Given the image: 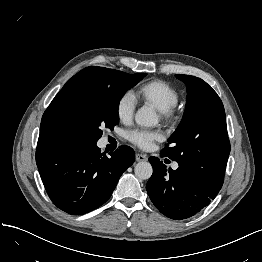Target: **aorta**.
<instances>
[{
  "label": "aorta",
  "instance_id": "762f6f07",
  "mask_svg": "<svg viewBox=\"0 0 262 262\" xmlns=\"http://www.w3.org/2000/svg\"><path fill=\"white\" fill-rule=\"evenodd\" d=\"M135 122L140 126L151 127L157 124L158 117L153 109L142 107L135 114ZM134 171L136 177L141 180L149 179L153 173L151 164L146 161L137 163Z\"/></svg>",
  "mask_w": 262,
  "mask_h": 262
}]
</instances>
